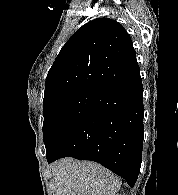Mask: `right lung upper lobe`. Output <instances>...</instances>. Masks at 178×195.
Wrapping results in <instances>:
<instances>
[{"instance_id": "obj_1", "label": "right lung upper lobe", "mask_w": 178, "mask_h": 195, "mask_svg": "<svg viewBox=\"0 0 178 195\" xmlns=\"http://www.w3.org/2000/svg\"><path fill=\"white\" fill-rule=\"evenodd\" d=\"M140 71L127 31L98 18L78 29L60 50L46 82L44 101L75 90L101 89Z\"/></svg>"}]
</instances>
